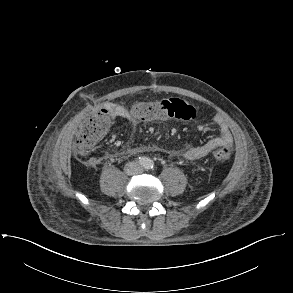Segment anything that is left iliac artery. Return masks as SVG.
<instances>
[{
  "mask_svg": "<svg viewBox=\"0 0 293 293\" xmlns=\"http://www.w3.org/2000/svg\"><path fill=\"white\" fill-rule=\"evenodd\" d=\"M146 168L147 169H152L153 168V162L151 160H148V162L146 164Z\"/></svg>",
  "mask_w": 293,
  "mask_h": 293,
  "instance_id": "left-iliac-artery-1",
  "label": "left iliac artery"
}]
</instances>
